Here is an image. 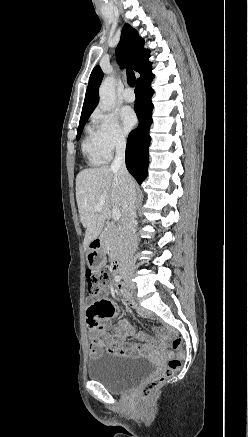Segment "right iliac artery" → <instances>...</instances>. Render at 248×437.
<instances>
[{
	"label": "right iliac artery",
	"mask_w": 248,
	"mask_h": 437,
	"mask_svg": "<svg viewBox=\"0 0 248 437\" xmlns=\"http://www.w3.org/2000/svg\"><path fill=\"white\" fill-rule=\"evenodd\" d=\"M121 280V277L120 276H116L115 277V281H120Z\"/></svg>",
	"instance_id": "1"
}]
</instances>
